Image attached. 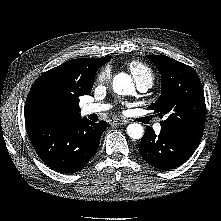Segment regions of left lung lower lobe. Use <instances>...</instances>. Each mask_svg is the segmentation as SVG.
Instances as JSON below:
<instances>
[{"label": "left lung lower lobe", "instance_id": "0a47b994", "mask_svg": "<svg viewBox=\"0 0 221 221\" xmlns=\"http://www.w3.org/2000/svg\"><path fill=\"white\" fill-rule=\"evenodd\" d=\"M200 140L161 130L156 135L146 127L139 153L151 166L160 170L174 169L186 162L195 152Z\"/></svg>", "mask_w": 221, "mask_h": 221}]
</instances>
